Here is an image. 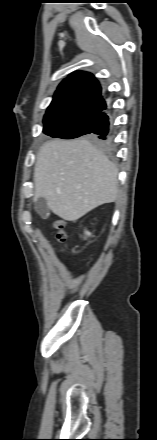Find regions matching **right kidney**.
<instances>
[{"mask_svg": "<svg viewBox=\"0 0 157 440\" xmlns=\"http://www.w3.org/2000/svg\"><path fill=\"white\" fill-rule=\"evenodd\" d=\"M85 235H86V236H90V235H91V233H90V232H88V231H85Z\"/></svg>", "mask_w": 157, "mask_h": 440, "instance_id": "1", "label": "right kidney"}]
</instances>
